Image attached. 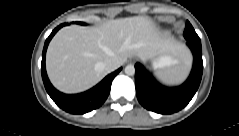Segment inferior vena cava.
Segmentation results:
<instances>
[{"mask_svg": "<svg viewBox=\"0 0 239 136\" xmlns=\"http://www.w3.org/2000/svg\"><path fill=\"white\" fill-rule=\"evenodd\" d=\"M120 65V62L116 59H110L104 64L106 70H108L109 72L116 70L118 67H120Z\"/></svg>", "mask_w": 239, "mask_h": 136, "instance_id": "1", "label": "inferior vena cava"}]
</instances>
